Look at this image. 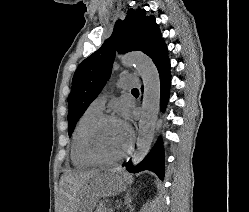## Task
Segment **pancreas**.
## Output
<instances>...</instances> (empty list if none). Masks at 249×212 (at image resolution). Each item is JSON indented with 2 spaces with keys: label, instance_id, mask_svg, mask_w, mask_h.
<instances>
[{
  "label": "pancreas",
  "instance_id": "cf45deb5",
  "mask_svg": "<svg viewBox=\"0 0 249 212\" xmlns=\"http://www.w3.org/2000/svg\"><path fill=\"white\" fill-rule=\"evenodd\" d=\"M112 208H105L103 204H99V206H96L95 212H111Z\"/></svg>",
  "mask_w": 249,
  "mask_h": 212
}]
</instances>
